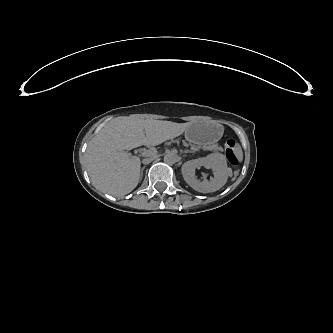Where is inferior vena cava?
Wrapping results in <instances>:
<instances>
[{
	"label": "inferior vena cava",
	"instance_id": "obj_1",
	"mask_svg": "<svg viewBox=\"0 0 333 333\" xmlns=\"http://www.w3.org/2000/svg\"><path fill=\"white\" fill-rule=\"evenodd\" d=\"M155 158H156V155L151 156V157L146 158V159H143L142 163H143V164H149V163L152 162Z\"/></svg>",
	"mask_w": 333,
	"mask_h": 333
}]
</instances>
